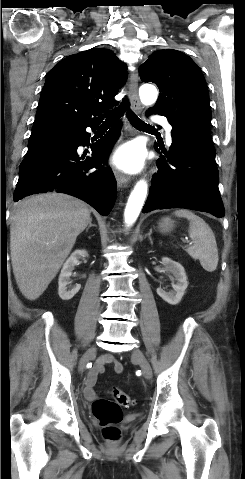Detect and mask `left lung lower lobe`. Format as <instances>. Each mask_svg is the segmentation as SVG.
<instances>
[{"label": "left lung lower lobe", "mask_w": 245, "mask_h": 479, "mask_svg": "<svg viewBox=\"0 0 245 479\" xmlns=\"http://www.w3.org/2000/svg\"><path fill=\"white\" fill-rule=\"evenodd\" d=\"M150 114L159 113L148 110L146 115ZM171 126L169 151L162 143L158 144L163 155L156 162L159 171L152 178L143 213L185 208L223 217L225 210L218 189L215 148L208 128Z\"/></svg>", "instance_id": "left-lung-lower-lobe-1"}]
</instances>
